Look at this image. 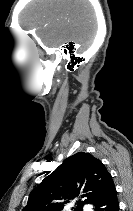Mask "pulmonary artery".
<instances>
[{
  "label": "pulmonary artery",
  "instance_id": "e3ab8cb5",
  "mask_svg": "<svg viewBox=\"0 0 133 211\" xmlns=\"http://www.w3.org/2000/svg\"><path fill=\"white\" fill-rule=\"evenodd\" d=\"M84 211H90L89 207L88 206H85Z\"/></svg>",
  "mask_w": 133,
  "mask_h": 211
}]
</instances>
